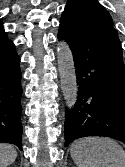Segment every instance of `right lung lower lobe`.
I'll return each mask as SVG.
<instances>
[{
	"label": "right lung lower lobe",
	"instance_id": "obj_1",
	"mask_svg": "<svg viewBox=\"0 0 125 167\" xmlns=\"http://www.w3.org/2000/svg\"><path fill=\"white\" fill-rule=\"evenodd\" d=\"M20 58L0 27V142L16 145L22 140Z\"/></svg>",
	"mask_w": 125,
	"mask_h": 167
}]
</instances>
